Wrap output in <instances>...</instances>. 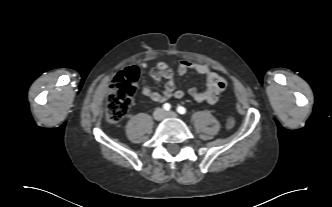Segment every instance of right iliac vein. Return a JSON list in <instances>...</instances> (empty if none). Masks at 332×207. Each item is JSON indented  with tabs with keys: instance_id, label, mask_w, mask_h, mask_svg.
Instances as JSON below:
<instances>
[{
	"instance_id": "63e3f726",
	"label": "right iliac vein",
	"mask_w": 332,
	"mask_h": 207,
	"mask_svg": "<svg viewBox=\"0 0 332 207\" xmlns=\"http://www.w3.org/2000/svg\"><path fill=\"white\" fill-rule=\"evenodd\" d=\"M164 111L162 110V109H157L155 112H154V117H155V119L156 120H161V119H163V117H164Z\"/></svg>"
}]
</instances>
